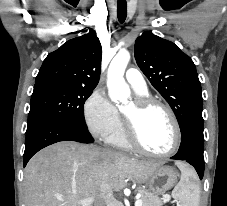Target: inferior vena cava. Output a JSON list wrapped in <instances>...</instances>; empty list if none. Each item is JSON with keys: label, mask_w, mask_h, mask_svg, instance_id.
I'll use <instances>...</instances> for the list:
<instances>
[{"label": "inferior vena cava", "mask_w": 227, "mask_h": 206, "mask_svg": "<svg viewBox=\"0 0 227 206\" xmlns=\"http://www.w3.org/2000/svg\"><path fill=\"white\" fill-rule=\"evenodd\" d=\"M104 192H103V197H104V206H112L113 203V194L111 189L108 188L106 184L103 185Z\"/></svg>", "instance_id": "obj_1"}]
</instances>
